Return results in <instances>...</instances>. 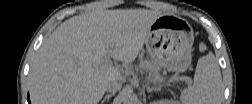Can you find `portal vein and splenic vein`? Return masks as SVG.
<instances>
[{"instance_id": "18ae733b", "label": "portal vein and splenic vein", "mask_w": 252, "mask_h": 104, "mask_svg": "<svg viewBox=\"0 0 252 104\" xmlns=\"http://www.w3.org/2000/svg\"><path fill=\"white\" fill-rule=\"evenodd\" d=\"M103 63L106 66H113L112 65V60L110 58L109 52H107L104 56ZM185 81L187 82L188 85H191L192 79L190 77H184Z\"/></svg>"}]
</instances>
